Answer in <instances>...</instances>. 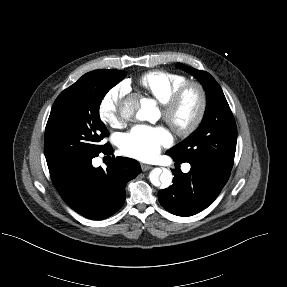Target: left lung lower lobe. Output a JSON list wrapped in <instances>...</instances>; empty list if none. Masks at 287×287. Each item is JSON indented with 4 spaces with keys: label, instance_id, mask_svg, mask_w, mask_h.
Here are the masks:
<instances>
[{
    "label": "left lung lower lobe",
    "instance_id": "1",
    "mask_svg": "<svg viewBox=\"0 0 287 287\" xmlns=\"http://www.w3.org/2000/svg\"><path fill=\"white\" fill-rule=\"evenodd\" d=\"M173 159L176 164L181 163ZM184 162L190 163V171L184 174L172 170L173 184L159 191L158 199L170 213L187 217L204 210L217 198L231 171L199 159Z\"/></svg>",
    "mask_w": 287,
    "mask_h": 287
}]
</instances>
